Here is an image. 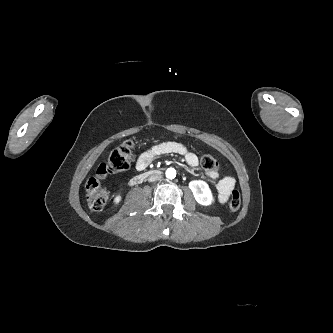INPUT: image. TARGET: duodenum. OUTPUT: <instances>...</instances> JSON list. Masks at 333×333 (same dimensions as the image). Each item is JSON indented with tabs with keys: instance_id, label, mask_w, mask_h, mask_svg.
I'll return each instance as SVG.
<instances>
[{
	"instance_id": "duodenum-1",
	"label": "duodenum",
	"mask_w": 333,
	"mask_h": 333,
	"mask_svg": "<svg viewBox=\"0 0 333 333\" xmlns=\"http://www.w3.org/2000/svg\"><path fill=\"white\" fill-rule=\"evenodd\" d=\"M161 174L160 170H150L146 172L139 173L135 176H133L130 180L131 185H137L143 183L146 179L149 177H156Z\"/></svg>"
}]
</instances>
